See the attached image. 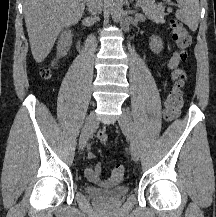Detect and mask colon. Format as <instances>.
<instances>
[{"instance_id":"colon-1","label":"colon","mask_w":216,"mask_h":217,"mask_svg":"<svg viewBox=\"0 0 216 217\" xmlns=\"http://www.w3.org/2000/svg\"><path fill=\"white\" fill-rule=\"evenodd\" d=\"M170 26L172 29V36L174 43L179 50V57L181 61H186L188 57V49L191 44V36L187 27L176 19L170 20ZM41 75L44 78H48L51 75V69L44 67L41 71ZM184 75L173 84L171 90L168 93L166 99L165 118L172 121L177 118L179 112L183 106L184 95H183ZM97 137L101 142H107L109 140V132L106 128L99 129ZM125 171L123 166L117 165L112 170V178L116 182L123 180Z\"/></svg>"}]
</instances>
